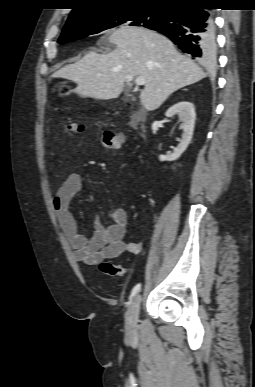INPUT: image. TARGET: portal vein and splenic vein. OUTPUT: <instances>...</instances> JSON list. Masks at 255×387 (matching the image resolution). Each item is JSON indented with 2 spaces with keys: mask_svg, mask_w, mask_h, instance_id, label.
<instances>
[{
  "mask_svg": "<svg viewBox=\"0 0 255 387\" xmlns=\"http://www.w3.org/2000/svg\"><path fill=\"white\" fill-rule=\"evenodd\" d=\"M127 80L128 81H132L133 78L129 76V77H127ZM135 83H136V85H144L145 84V78L144 77H137L135 79Z\"/></svg>",
  "mask_w": 255,
  "mask_h": 387,
  "instance_id": "obj_1",
  "label": "portal vein and splenic vein"
}]
</instances>
